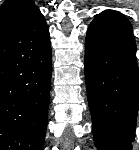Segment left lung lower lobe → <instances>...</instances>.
<instances>
[{"mask_svg": "<svg viewBox=\"0 0 139 150\" xmlns=\"http://www.w3.org/2000/svg\"><path fill=\"white\" fill-rule=\"evenodd\" d=\"M136 44L130 22L106 10L85 40V79L98 150H132L139 109Z\"/></svg>", "mask_w": 139, "mask_h": 150, "instance_id": "1", "label": "left lung lower lobe"}]
</instances>
